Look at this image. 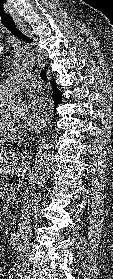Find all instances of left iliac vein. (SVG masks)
Returning <instances> with one entry per match:
<instances>
[{"label": "left iliac vein", "mask_w": 113, "mask_h": 279, "mask_svg": "<svg viewBox=\"0 0 113 279\" xmlns=\"http://www.w3.org/2000/svg\"><path fill=\"white\" fill-rule=\"evenodd\" d=\"M23 279H34V277L29 272L27 275L23 276Z\"/></svg>", "instance_id": "obj_1"}]
</instances>
